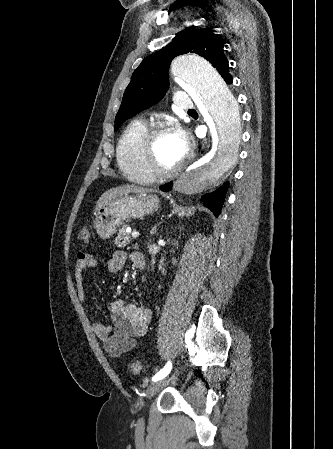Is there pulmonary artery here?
I'll list each match as a JSON object with an SVG mask.
<instances>
[{
	"label": "pulmonary artery",
	"mask_w": 333,
	"mask_h": 449,
	"mask_svg": "<svg viewBox=\"0 0 333 449\" xmlns=\"http://www.w3.org/2000/svg\"><path fill=\"white\" fill-rule=\"evenodd\" d=\"M175 102L178 107L185 109V110H192L194 107V103L190 95L185 92H178L175 96Z\"/></svg>",
	"instance_id": "e3ab8cb5"
}]
</instances>
